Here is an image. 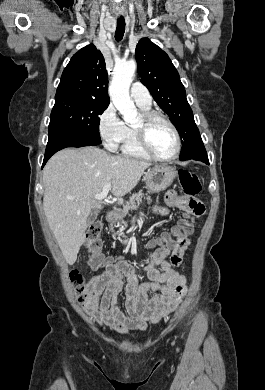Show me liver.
I'll return each instance as SVG.
<instances>
[{"label": "liver", "instance_id": "1", "mask_svg": "<svg viewBox=\"0 0 265 390\" xmlns=\"http://www.w3.org/2000/svg\"><path fill=\"white\" fill-rule=\"evenodd\" d=\"M150 166L149 162L114 156L93 146L66 148L50 158L43 170V208L69 265L77 260L92 209L102 208L95 195L109 182L114 196L126 195Z\"/></svg>", "mask_w": 265, "mask_h": 390}]
</instances>
